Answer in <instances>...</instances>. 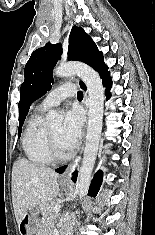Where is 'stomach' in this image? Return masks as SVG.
Listing matches in <instances>:
<instances>
[{"label": "stomach", "instance_id": "obj_1", "mask_svg": "<svg viewBox=\"0 0 155 235\" xmlns=\"http://www.w3.org/2000/svg\"><path fill=\"white\" fill-rule=\"evenodd\" d=\"M43 212L42 206H35L27 211L19 224L21 235H35L41 229L40 212Z\"/></svg>", "mask_w": 155, "mask_h": 235}]
</instances>
